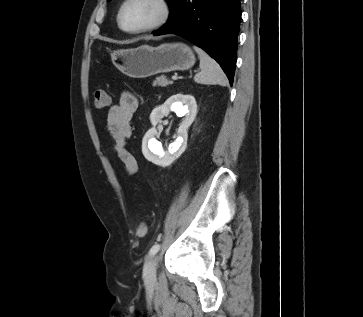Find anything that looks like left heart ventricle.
<instances>
[{"mask_svg": "<svg viewBox=\"0 0 363 317\" xmlns=\"http://www.w3.org/2000/svg\"><path fill=\"white\" fill-rule=\"evenodd\" d=\"M160 13L154 0H132L124 9L122 24L127 29H136L153 22Z\"/></svg>", "mask_w": 363, "mask_h": 317, "instance_id": "obj_1", "label": "left heart ventricle"}]
</instances>
